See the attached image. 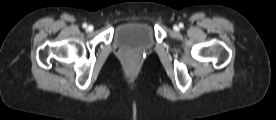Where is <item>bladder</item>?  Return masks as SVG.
Masks as SVG:
<instances>
[{
	"label": "bladder",
	"mask_w": 276,
	"mask_h": 120,
	"mask_svg": "<svg viewBox=\"0 0 276 120\" xmlns=\"http://www.w3.org/2000/svg\"><path fill=\"white\" fill-rule=\"evenodd\" d=\"M116 43L123 48L145 50L153 44L151 27L142 22L121 25L116 31Z\"/></svg>",
	"instance_id": "31cf9c89"
}]
</instances>
